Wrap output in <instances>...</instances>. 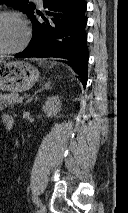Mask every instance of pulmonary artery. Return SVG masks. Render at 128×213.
<instances>
[{
    "label": "pulmonary artery",
    "mask_w": 128,
    "mask_h": 213,
    "mask_svg": "<svg viewBox=\"0 0 128 213\" xmlns=\"http://www.w3.org/2000/svg\"><path fill=\"white\" fill-rule=\"evenodd\" d=\"M35 1H36V3H37L39 6L42 5V0H35Z\"/></svg>",
    "instance_id": "e3ab8cb5"
}]
</instances>
